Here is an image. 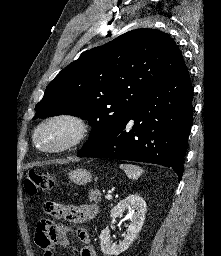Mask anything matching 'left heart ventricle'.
I'll use <instances>...</instances> for the list:
<instances>
[{
  "label": "left heart ventricle",
  "mask_w": 221,
  "mask_h": 256,
  "mask_svg": "<svg viewBox=\"0 0 221 256\" xmlns=\"http://www.w3.org/2000/svg\"><path fill=\"white\" fill-rule=\"evenodd\" d=\"M72 129L64 123L45 127L38 135V141L44 146H56L70 138Z\"/></svg>",
  "instance_id": "obj_1"
}]
</instances>
